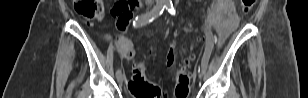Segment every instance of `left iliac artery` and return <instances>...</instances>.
Returning a JSON list of instances; mask_svg holds the SVG:
<instances>
[{"mask_svg":"<svg viewBox=\"0 0 308 98\" xmlns=\"http://www.w3.org/2000/svg\"><path fill=\"white\" fill-rule=\"evenodd\" d=\"M166 9L168 10V12L172 15H175V9L173 7V4L172 3H167L166 4ZM202 31H205L207 29V26L205 24H202L200 27H199ZM209 28V27H208ZM206 39H207V45H206V48H205V51H204V55H203V59H202V68H203V71L206 70V67H207V61H209V57H210V53H211V50H212V45H214V38H213V34L212 33H208L206 32Z\"/></svg>","mask_w":308,"mask_h":98,"instance_id":"44dca946","label":"left iliac artery"}]
</instances>
